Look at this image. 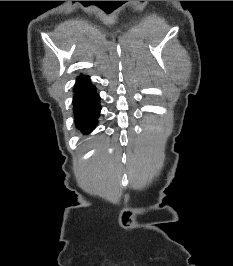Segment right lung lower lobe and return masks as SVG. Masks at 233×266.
I'll return each instance as SVG.
<instances>
[{
  "instance_id": "1",
  "label": "right lung lower lobe",
  "mask_w": 233,
  "mask_h": 266,
  "mask_svg": "<svg viewBox=\"0 0 233 266\" xmlns=\"http://www.w3.org/2000/svg\"><path fill=\"white\" fill-rule=\"evenodd\" d=\"M74 93L75 122L83 134H88L95 128L100 114L99 96L88 76L78 77Z\"/></svg>"
}]
</instances>
